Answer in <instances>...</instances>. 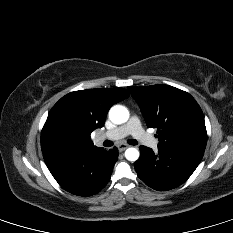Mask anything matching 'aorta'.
<instances>
[{
  "label": "aorta",
  "instance_id": "obj_1",
  "mask_svg": "<svg viewBox=\"0 0 233 233\" xmlns=\"http://www.w3.org/2000/svg\"><path fill=\"white\" fill-rule=\"evenodd\" d=\"M109 118L115 124H122L128 121L129 111L122 105H114L109 110ZM139 151L136 148H128L125 151V157L129 161H136L139 158Z\"/></svg>",
  "mask_w": 233,
  "mask_h": 233
}]
</instances>
